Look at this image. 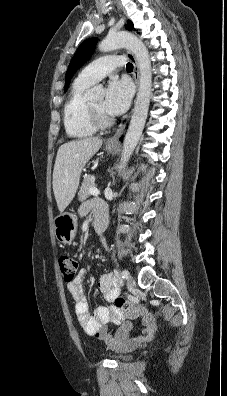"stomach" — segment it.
<instances>
[{
  "instance_id": "1",
  "label": "stomach",
  "mask_w": 227,
  "mask_h": 396,
  "mask_svg": "<svg viewBox=\"0 0 227 396\" xmlns=\"http://www.w3.org/2000/svg\"><path fill=\"white\" fill-rule=\"evenodd\" d=\"M106 150L114 153L116 146L106 145ZM56 239L63 244H70L77 231L76 217L71 213H61L54 220Z\"/></svg>"
}]
</instances>
